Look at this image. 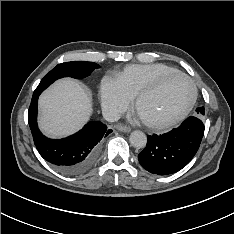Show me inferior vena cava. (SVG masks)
I'll return each mask as SVG.
<instances>
[{"instance_id": "inferior-vena-cava-1", "label": "inferior vena cava", "mask_w": 234, "mask_h": 234, "mask_svg": "<svg viewBox=\"0 0 234 234\" xmlns=\"http://www.w3.org/2000/svg\"><path fill=\"white\" fill-rule=\"evenodd\" d=\"M102 114H103L104 119L108 122L118 121L121 116L117 110L111 109V108H104L102 110Z\"/></svg>"}]
</instances>
